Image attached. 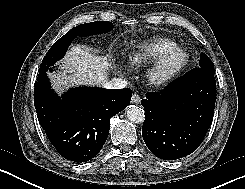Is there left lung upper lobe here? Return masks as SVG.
<instances>
[{
    "label": "left lung upper lobe",
    "mask_w": 245,
    "mask_h": 189,
    "mask_svg": "<svg viewBox=\"0 0 245 189\" xmlns=\"http://www.w3.org/2000/svg\"><path fill=\"white\" fill-rule=\"evenodd\" d=\"M199 67L214 74V64L204 53L200 55Z\"/></svg>",
    "instance_id": "5c2ea615"
}]
</instances>
